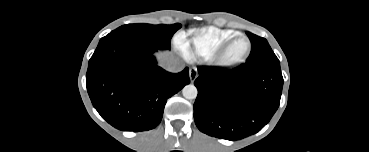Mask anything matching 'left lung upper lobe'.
<instances>
[{
  "label": "left lung upper lobe",
  "mask_w": 369,
  "mask_h": 152,
  "mask_svg": "<svg viewBox=\"0 0 369 152\" xmlns=\"http://www.w3.org/2000/svg\"><path fill=\"white\" fill-rule=\"evenodd\" d=\"M251 41V53L246 63H279L266 39L246 32Z\"/></svg>",
  "instance_id": "1"
}]
</instances>
